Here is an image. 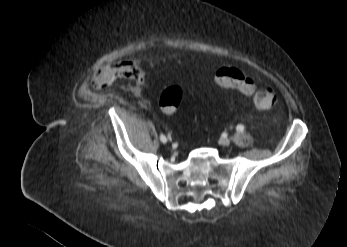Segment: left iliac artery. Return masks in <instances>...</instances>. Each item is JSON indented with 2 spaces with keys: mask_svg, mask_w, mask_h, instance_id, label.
Returning a JSON list of instances; mask_svg holds the SVG:
<instances>
[{
  "mask_svg": "<svg viewBox=\"0 0 347 247\" xmlns=\"http://www.w3.org/2000/svg\"><path fill=\"white\" fill-rule=\"evenodd\" d=\"M236 129L239 132H243L245 128H244V126L242 124H239V125H237Z\"/></svg>",
  "mask_w": 347,
  "mask_h": 247,
  "instance_id": "obj_1",
  "label": "left iliac artery"
}]
</instances>
